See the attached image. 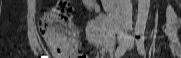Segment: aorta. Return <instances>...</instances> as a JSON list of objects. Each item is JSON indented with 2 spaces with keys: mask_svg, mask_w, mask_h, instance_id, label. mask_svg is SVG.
<instances>
[{
  "mask_svg": "<svg viewBox=\"0 0 181 58\" xmlns=\"http://www.w3.org/2000/svg\"><path fill=\"white\" fill-rule=\"evenodd\" d=\"M150 9V0H138V13L135 24V32L144 33L148 14Z\"/></svg>",
  "mask_w": 181,
  "mask_h": 58,
  "instance_id": "762f6f07",
  "label": "aorta"
}]
</instances>
